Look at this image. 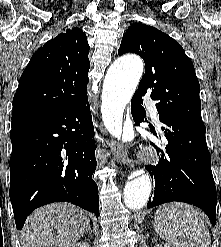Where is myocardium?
<instances>
[{
  "label": "myocardium",
  "mask_w": 221,
  "mask_h": 247,
  "mask_svg": "<svg viewBox=\"0 0 221 247\" xmlns=\"http://www.w3.org/2000/svg\"><path fill=\"white\" fill-rule=\"evenodd\" d=\"M149 159H150L151 161H157L158 156H157V154H156L155 152H151V153H150V156H149Z\"/></svg>",
  "instance_id": "obj_1"
}]
</instances>
